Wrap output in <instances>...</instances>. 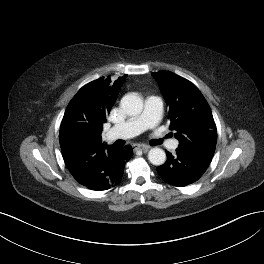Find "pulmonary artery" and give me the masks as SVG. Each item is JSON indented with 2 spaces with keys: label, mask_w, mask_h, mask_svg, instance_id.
<instances>
[{
  "label": "pulmonary artery",
  "mask_w": 264,
  "mask_h": 264,
  "mask_svg": "<svg viewBox=\"0 0 264 264\" xmlns=\"http://www.w3.org/2000/svg\"><path fill=\"white\" fill-rule=\"evenodd\" d=\"M163 111V100L160 96L151 95L145 99L143 112L136 117L130 118L124 123L112 127L108 133L109 140L125 139L136 136L147 129L156 127ZM177 141H173L172 147L176 148Z\"/></svg>",
  "instance_id": "e3ab8cb5"
}]
</instances>
